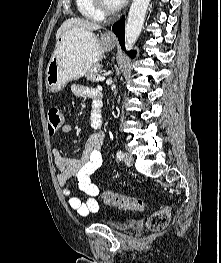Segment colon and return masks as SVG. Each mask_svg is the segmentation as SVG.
<instances>
[{
    "mask_svg": "<svg viewBox=\"0 0 221 263\" xmlns=\"http://www.w3.org/2000/svg\"><path fill=\"white\" fill-rule=\"evenodd\" d=\"M63 124V112L58 107H52L47 112V126L50 134L56 133ZM101 199L105 205L120 210L142 212L144 202L141 199L129 197L112 191H104ZM170 221L169 207L161 208L152 213L147 220V227L152 232L164 230Z\"/></svg>",
    "mask_w": 221,
    "mask_h": 263,
    "instance_id": "colon-1",
    "label": "colon"
}]
</instances>
